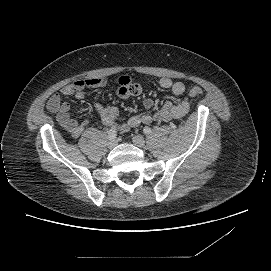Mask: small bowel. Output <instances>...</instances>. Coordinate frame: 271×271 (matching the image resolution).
<instances>
[{"label":"small bowel","mask_w":271,"mask_h":271,"mask_svg":"<svg viewBox=\"0 0 271 271\" xmlns=\"http://www.w3.org/2000/svg\"><path fill=\"white\" fill-rule=\"evenodd\" d=\"M118 88L117 94L121 98H127L131 94L128 88L131 85L129 77H121L117 80ZM107 84V79L88 78L75 80L69 84L64 85L59 92L54 93L47 102L48 111L56 114V120L63 127L72 138H78L85 127L88 125V120L77 121L70 115V105L62 101V96H75L77 99L85 97V90L89 88H102ZM162 89L171 90L173 94L182 96L185 93V85L180 81H172L170 78H162L159 81ZM143 106L146 110H152L154 101L151 98H145ZM96 112L101 117V120L106 125H117L116 118L118 116V109L115 106H106L101 103H96L94 106ZM190 110V101L184 97L179 102H165L155 112H147L130 117L127 123L123 126H118L122 131H128L140 124H150L153 122H168L170 120H177L183 118Z\"/></svg>","instance_id":"small-bowel-1"}]
</instances>
